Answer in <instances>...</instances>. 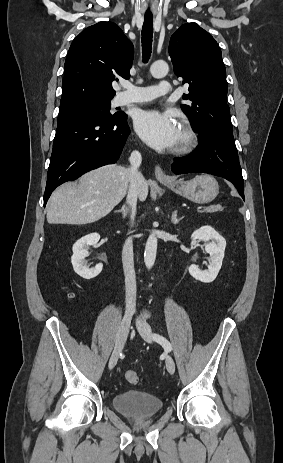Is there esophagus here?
<instances>
[{"instance_id":"esophagus-1","label":"esophagus","mask_w":283,"mask_h":463,"mask_svg":"<svg viewBox=\"0 0 283 463\" xmlns=\"http://www.w3.org/2000/svg\"><path fill=\"white\" fill-rule=\"evenodd\" d=\"M155 176L160 182H170L172 178L164 173L159 165L155 166Z\"/></svg>"}]
</instances>
